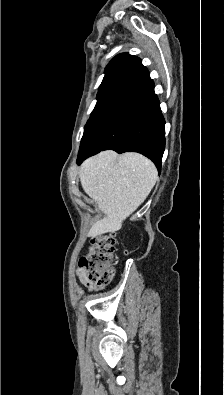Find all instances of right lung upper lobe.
<instances>
[{"label": "right lung upper lobe", "instance_id": "1", "mask_svg": "<svg viewBox=\"0 0 224 395\" xmlns=\"http://www.w3.org/2000/svg\"><path fill=\"white\" fill-rule=\"evenodd\" d=\"M133 57L134 56L129 55L128 53H122L114 57L106 67L105 76L118 73L124 64Z\"/></svg>", "mask_w": 224, "mask_h": 395}]
</instances>
